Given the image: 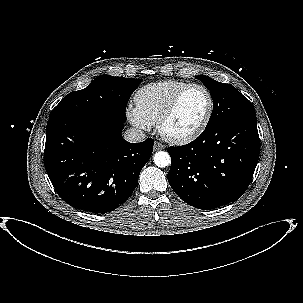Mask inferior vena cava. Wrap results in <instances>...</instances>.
I'll return each instance as SVG.
<instances>
[{
  "label": "inferior vena cava",
  "mask_w": 303,
  "mask_h": 303,
  "mask_svg": "<svg viewBox=\"0 0 303 303\" xmlns=\"http://www.w3.org/2000/svg\"><path fill=\"white\" fill-rule=\"evenodd\" d=\"M124 138L130 143L142 142L145 140L146 135L144 132L137 128H130L124 132Z\"/></svg>",
  "instance_id": "obj_1"
}]
</instances>
